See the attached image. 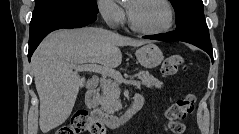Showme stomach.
<instances>
[{"mask_svg": "<svg viewBox=\"0 0 239 134\" xmlns=\"http://www.w3.org/2000/svg\"><path fill=\"white\" fill-rule=\"evenodd\" d=\"M135 55L139 63L147 69L156 68L164 58L160 48L151 42L137 49Z\"/></svg>", "mask_w": 239, "mask_h": 134, "instance_id": "stomach-1", "label": "stomach"}]
</instances>
